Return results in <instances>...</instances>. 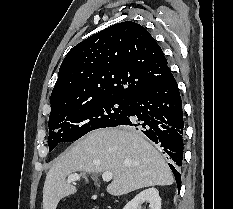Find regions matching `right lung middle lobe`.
Listing matches in <instances>:
<instances>
[{"mask_svg": "<svg viewBox=\"0 0 233 209\" xmlns=\"http://www.w3.org/2000/svg\"><path fill=\"white\" fill-rule=\"evenodd\" d=\"M129 100L109 98L81 107L54 112L49 117V152L60 142H72L86 133L110 127L122 121L129 108Z\"/></svg>", "mask_w": 233, "mask_h": 209, "instance_id": "right-lung-middle-lobe-1", "label": "right lung middle lobe"}]
</instances>
